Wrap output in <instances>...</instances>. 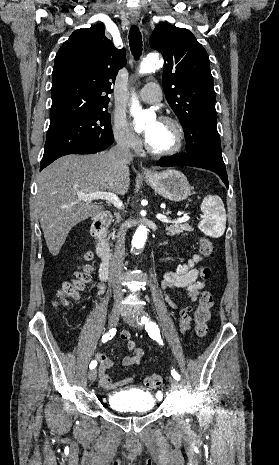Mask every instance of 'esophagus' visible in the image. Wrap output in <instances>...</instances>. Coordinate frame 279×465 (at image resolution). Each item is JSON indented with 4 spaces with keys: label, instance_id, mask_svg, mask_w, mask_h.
<instances>
[{
    "label": "esophagus",
    "instance_id": "obj_1",
    "mask_svg": "<svg viewBox=\"0 0 279 465\" xmlns=\"http://www.w3.org/2000/svg\"><path fill=\"white\" fill-rule=\"evenodd\" d=\"M129 18H130V21L133 23V24H136L138 21H139V15L138 14H130L129 15ZM142 173L144 175H150L151 174V170L148 169V168H143L142 169Z\"/></svg>",
    "mask_w": 279,
    "mask_h": 465
}]
</instances>
